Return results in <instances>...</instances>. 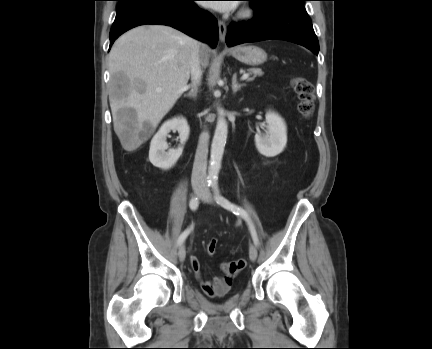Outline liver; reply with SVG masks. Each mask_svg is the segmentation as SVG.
Instances as JSON below:
<instances>
[{
    "instance_id": "6515ba94",
    "label": "liver",
    "mask_w": 432,
    "mask_h": 349,
    "mask_svg": "<svg viewBox=\"0 0 432 349\" xmlns=\"http://www.w3.org/2000/svg\"><path fill=\"white\" fill-rule=\"evenodd\" d=\"M192 45L191 37L163 25L139 26L115 41L109 53V102L124 150L134 151L146 142L187 90ZM209 52L200 44L203 66ZM123 109H131L132 118L118 116Z\"/></svg>"
}]
</instances>
